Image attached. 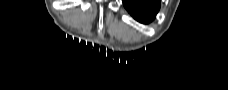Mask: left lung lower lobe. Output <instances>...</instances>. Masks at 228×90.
<instances>
[{
	"instance_id": "1",
	"label": "left lung lower lobe",
	"mask_w": 228,
	"mask_h": 90,
	"mask_svg": "<svg viewBox=\"0 0 228 90\" xmlns=\"http://www.w3.org/2000/svg\"><path fill=\"white\" fill-rule=\"evenodd\" d=\"M123 5L136 20L147 23L158 12L160 0H123Z\"/></svg>"
}]
</instances>
